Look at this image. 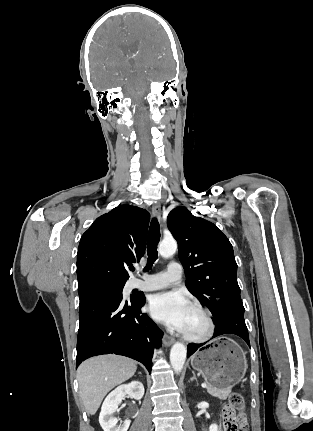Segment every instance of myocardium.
<instances>
[{
	"label": "myocardium",
	"mask_w": 313,
	"mask_h": 431,
	"mask_svg": "<svg viewBox=\"0 0 313 431\" xmlns=\"http://www.w3.org/2000/svg\"><path fill=\"white\" fill-rule=\"evenodd\" d=\"M190 307L198 310L199 312H201L204 315V317L207 321V330L203 335H200V336H192V335L182 333V338L185 341L191 342V343L206 342L213 337L215 330H216V323H215L214 317H213L212 313L210 312V310H208L206 307H204L200 303H196V302L191 303Z\"/></svg>",
	"instance_id": "1"
}]
</instances>
